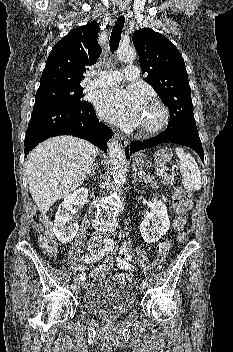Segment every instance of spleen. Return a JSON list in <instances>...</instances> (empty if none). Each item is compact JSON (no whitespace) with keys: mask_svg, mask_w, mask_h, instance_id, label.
I'll return each instance as SVG.
<instances>
[{"mask_svg":"<svg viewBox=\"0 0 233 352\" xmlns=\"http://www.w3.org/2000/svg\"><path fill=\"white\" fill-rule=\"evenodd\" d=\"M179 158L177 165L182 173V184L188 191H198L201 189L200 169L190 153H186L182 148H175Z\"/></svg>","mask_w":233,"mask_h":352,"instance_id":"spleen-1","label":"spleen"}]
</instances>
